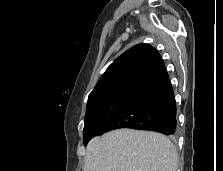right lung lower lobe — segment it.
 <instances>
[{"mask_svg": "<svg viewBox=\"0 0 223 171\" xmlns=\"http://www.w3.org/2000/svg\"><path fill=\"white\" fill-rule=\"evenodd\" d=\"M176 103L168 76L138 94L111 119L99 135L119 128L151 130L173 135L176 131Z\"/></svg>", "mask_w": 223, "mask_h": 171, "instance_id": "right-lung-lower-lobe-1", "label": "right lung lower lobe"}]
</instances>
